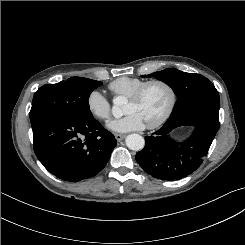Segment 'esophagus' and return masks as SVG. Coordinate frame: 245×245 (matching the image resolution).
Masks as SVG:
<instances>
[{"label": "esophagus", "mask_w": 245, "mask_h": 245, "mask_svg": "<svg viewBox=\"0 0 245 245\" xmlns=\"http://www.w3.org/2000/svg\"><path fill=\"white\" fill-rule=\"evenodd\" d=\"M115 138H116L117 141H121V140H123L125 138V135L116 133L115 134Z\"/></svg>", "instance_id": "1"}]
</instances>
